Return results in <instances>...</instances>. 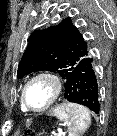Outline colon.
<instances>
[{"label":"colon","mask_w":117,"mask_h":136,"mask_svg":"<svg viewBox=\"0 0 117 136\" xmlns=\"http://www.w3.org/2000/svg\"><path fill=\"white\" fill-rule=\"evenodd\" d=\"M26 135H27V136H32V135H34V134H33V132L28 131V132L26 133Z\"/></svg>","instance_id":"1"}]
</instances>
